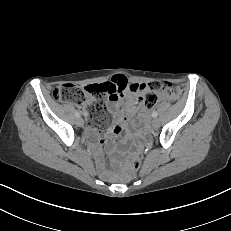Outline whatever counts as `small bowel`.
Wrapping results in <instances>:
<instances>
[{
  "label": "small bowel",
  "mask_w": 231,
  "mask_h": 231,
  "mask_svg": "<svg viewBox=\"0 0 231 231\" xmlns=\"http://www.w3.org/2000/svg\"><path fill=\"white\" fill-rule=\"evenodd\" d=\"M100 84L107 87L105 98L108 100L110 110L116 115V121L108 130L106 137L101 136L97 127L93 124H91L88 128L89 133L95 136L100 144H103L108 139L115 140L121 132L128 127L129 119L124 117V110H126L130 115H134L139 112V116L141 117L147 114V108L142 102V97L146 92V85L141 83H131L122 74L115 75L110 81ZM174 98H176V95L172 97L168 95L160 96V100L162 102H166ZM78 105L87 115L84 109L85 103Z\"/></svg>",
  "instance_id": "small-bowel-1"
}]
</instances>
